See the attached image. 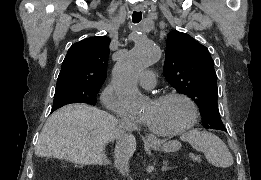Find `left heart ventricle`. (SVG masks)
Segmentation results:
<instances>
[{
  "label": "left heart ventricle",
  "mask_w": 261,
  "mask_h": 180,
  "mask_svg": "<svg viewBox=\"0 0 261 180\" xmlns=\"http://www.w3.org/2000/svg\"><path fill=\"white\" fill-rule=\"evenodd\" d=\"M190 116L188 104L178 97L148 101L137 114L139 120L146 125L149 132L163 137L180 132Z\"/></svg>",
  "instance_id": "b2bd125f"
}]
</instances>
